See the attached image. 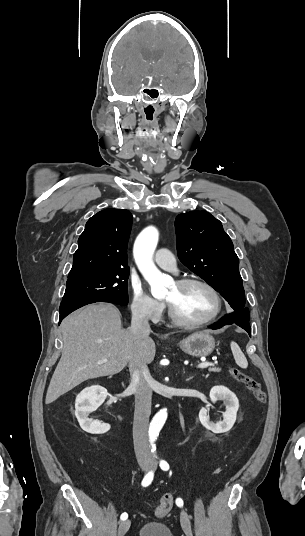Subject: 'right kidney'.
<instances>
[{"label":"right kidney","mask_w":305,"mask_h":536,"mask_svg":"<svg viewBox=\"0 0 305 536\" xmlns=\"http://www.w3.org/2000/svg\"><path fill=\"white\" fill-rule=\"evenodd\" d=\"M102 392H105V388H101V386H91V388H85L81 394H78L76 398V416L77 420L82 428V430H85V432H89V434H103L104 432V426L101 424V422H95V420H90L88 418L89 414L91 412H94L97 406V402H100V398H104L105 394H102ZM94 400V402H92Z\"/></svg>","instance_id":"1"}]
</instances>
